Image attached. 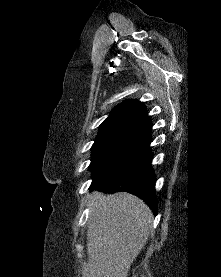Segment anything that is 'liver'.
Masks as SVG:
<instances>
[{
    "label": "liver",
    "instance_id": "1",
    "mask_svg": "<svg viewBox=\"0 0 221 277\" xmlns=\"http://www.w3.org/2000/svg\"><path fill=\"white\" fill-rule=\"evenodd\" d=\"M89 206L88 261L82 277H127L152 229L149 207L126 192H94Z\"/></svg>",
    "mask_w": 221,
    "mask_h": 277
}]
</instances>
